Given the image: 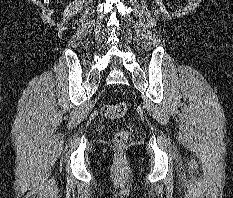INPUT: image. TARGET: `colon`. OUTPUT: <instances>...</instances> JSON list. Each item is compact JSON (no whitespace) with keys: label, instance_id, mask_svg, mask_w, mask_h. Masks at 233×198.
<instances>
[{"label":"colon","instance_id":"1","mask_svg":"<svg viewBox=\"0 0 233 198\" xmlns=\"http://www.w3.org/2000/svg\"><path fill=\"white\" fill-rule=\"evenodd\" d=\"M127 110L126 103L108 104L104 105L101 109L102 115L108 119H115L123 116ZM129 140V132L127 130H121L116 133L114 138L115 146L122 149L126 146Z\"/></svg>","mask_w":233,"mask_h":198}]
</instances>
